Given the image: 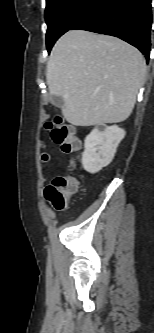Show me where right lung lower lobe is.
I'll return each instance as SVG.
<instances>
[{
  "instance_id": "right-lung-lower-lobe-1",
  "label": "right lung lower lobe",
  "mask_w": 154,
  "mask_h": 333,
  "mask_svg": "<svg viewBox=\"0 0 154 333\" xmlns=\"http://www.w3.org/2000/svg\"><path fill=\"white\" fill-rule=\"evenodd\" d=\"M151 0H99L71 29L118 37L138 48L149 61Z\"/></svg>"
}]
</instances>
